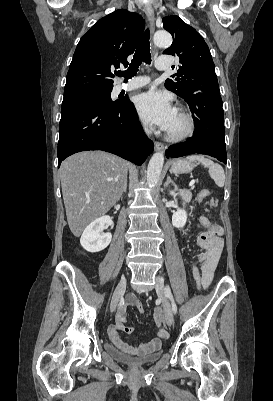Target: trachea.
<instances>
[{
	"label": "trachea",
	"mask_w": 273,
	"mask_h": 401,
	"mask_svg": "<svg viewBox=\"0 0 273 401\" xmlns=\"http://www.w3.org/2000/svg\"><path fill=\"white\" fill-rule=\"evenodd\" d=\"M149 30H145L143 33L138 46L136 48V52L133 56V59L125 72H119L117 75L119 77L125 78V80H128L129 78H132L134 75H136L139 66L141 65L142 62L146 63L149 65L151 63V54H150V42H149Z\"/></svg>",
	"instance_id": "3493384b"
}]
</instances>
